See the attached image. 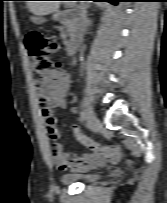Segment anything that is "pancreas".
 Here are the masks:
<instances>
[{"label":"pancreas","instance_id":"1","mask_svg":"<svg viewBox=\"0 0 167 203\" xmlns=\"http://www.w3.org/2000/svg\"><path fill=\"white\" fill-rule=\"evenodd\" d=\"M74 31V27L70 25L69 22H63V26L61 28V38L64 40V43H66V38L68 36H71Z\"/></svg>","mask_w":167,"mask_h":203}]
</instances>
